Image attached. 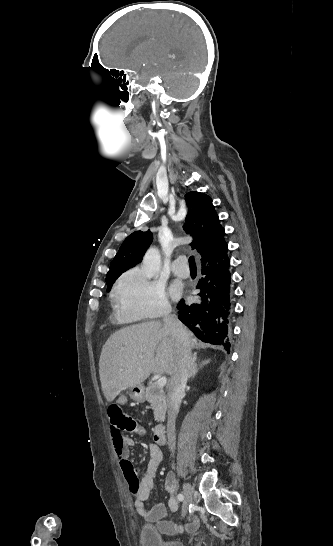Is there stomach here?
<instances>
[{"instance_id":"1","label":"stomach","mask_w":333,"mask_h":546,"mask_svg":"<svg viewBox=\"0 0 333 546\" xmlns=\"http://www.w3.org/2000/svg\"><path fill=\"white\" fill-rule=\"evenodd\" d=\"M128 394L131 400L135 402L142 403L145 400L144 387L141 384L131 387Z\"/></svg>"}]
</instances>
